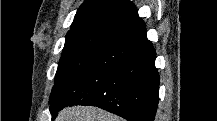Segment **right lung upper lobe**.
Listing matches in <instances>:
<instances>
[{
  "label": "right lung upper lobe",
  "instance_id": "right-lung-upper-lobe-1",
  "mask_svg": "<svg viewBox=\"0 0 217 121\" xmlns=\"http://www.w3.org/2000/svg\"><path fill=\"white\" fill-rule=\"evenodd\" d=\"M137 17V10L129 0H85L74 17L71 29L98 21L128 24Z\"/></svg>",
  "mask_w": 217,
  "mask_h": 121
}]
</instances>
